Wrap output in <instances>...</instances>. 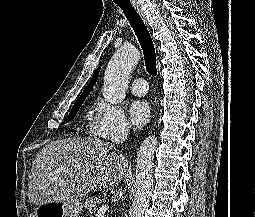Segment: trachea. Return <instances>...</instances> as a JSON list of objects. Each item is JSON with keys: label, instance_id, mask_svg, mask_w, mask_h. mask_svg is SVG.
Here are the masks:
<instances>
[{"label": "trachea", "instance_id": "obj_1", "mask_svg": "<svg viewBox=\"0 0 255 217\" xmlns=\"http://www.w3.org/2000/svg\"><path fill=\"white\" fill-rule=\"evenodd\" d=\"M124 12L127 20L133 28L139 43L142 47L145 66L147 72L152 75H157L156 69V53L152 38L149 34L147 27L145 26L142 18L138 12L134 9L131 3L117 4Z\"/></svg>", "mask_w": 255, "mask_h": 217}]
</instances>
